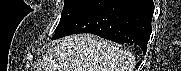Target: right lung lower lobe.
Here are the masks:
<instances>
[{"mask_svg":"<svg viewBox=\"0 0 181 71\" xmlns=\"http://www.w3.org/2000/svg\"><path fill=\"white\" fill-rule=\"evenodd\" d=\"M153 12V0H94L57 30L52 40L92 33L119 44L134 43L145 54Z\"/></svg>","mask_w":181,"mask_h":71,"instance_id":"obj_1","label":"right lung lower lobe"}]
</instances>
